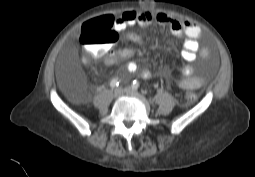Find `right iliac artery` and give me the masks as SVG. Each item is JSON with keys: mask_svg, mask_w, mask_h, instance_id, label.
I'll list each match as a JSON object with an SVG mask.
<instances>
[{"mask_svg": "<svg viewBox=\"0 0 255 177\" xmlns=\"http://www.w3.org/2000/svg\"><path fill=\"white\" fill-rule=\"evenodd\" d=\"M119 83H120V80H118L117 78L112 79L111 82H110V87L115 88L119 85Z\"/></svg>", "mask_w": 255, "mask_h": 177, "instance_id": "1", "label": "right iliac artery"}]
</instances>
